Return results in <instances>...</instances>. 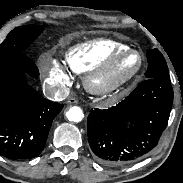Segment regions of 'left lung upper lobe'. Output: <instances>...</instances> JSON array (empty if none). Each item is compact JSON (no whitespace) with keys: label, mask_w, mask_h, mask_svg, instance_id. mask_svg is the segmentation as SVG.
I'll list each match as a JSON object with an SVG mask.
<instances>
[{"label":"left lung upper lobe","mask_w":183,"mask_h":183,"mask_svg":"<svg viewBox=\"0 0 183 183\" xmlns=\"http://www.w3.org/2000/svg\"><path fill=\"white\" fill-rule=\"evenodd\" d=\"M148 69L145 73L147 78H158L169 80V73L163 55L157 50L147 52Z\"/></svg>","instance_id":"5c2ea615"}]
</instances>
